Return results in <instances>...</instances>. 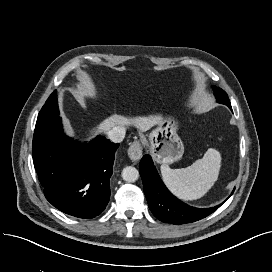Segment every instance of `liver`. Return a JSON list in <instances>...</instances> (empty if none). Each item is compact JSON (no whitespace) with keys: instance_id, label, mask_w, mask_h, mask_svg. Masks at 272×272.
<instances>
[{"instance_id":"6515ba94","label":"liver","mask_w":272,"mask_h":272,"mask_svg":"<svg viewBox=\"0 0 272 272\" xmlns=\"http://www.w3.org/2000/svg\"><path fill=\"white\" fill-rule=\"evenodd\" d=\"M161 117L159 116H147V117H126L118 114H113L112 116L106 118L103 120L99 125H97L95 128H92L89 130V137L87 140L94 137L99 132L107 133L109 130H111L115 126H129L133 125L135 126L139 131L145 132L152 128L154 125H156Z\"/></svg>"}]
</instances>
